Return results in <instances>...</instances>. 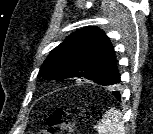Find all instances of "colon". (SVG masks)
Listing matches in <instances>:
<instances>
[{
  "label": "colon",
  "instance_id": "1",
  "mask_svg": "<svg viewBox=\"0 0 153 134\" xmlns=\"http://www.w3.org/2000/svg\"><path fill=\"white\" fill-rule=\"evenodd\" d=\"M31 134H74V124L65 109L55 110L47 120V129Z\"/></svg>",
  "mask_w": 153,
  "mask_h": 134
}]
</instances>
